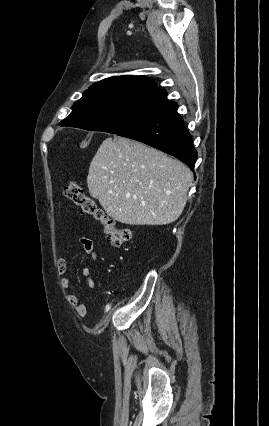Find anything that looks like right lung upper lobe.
I'll list each match as a JSON object with an SVG mask.
<instances>
[{
	"instance_id": "right-lung-upper-lobe-1",
	"label": "right lung upper lobe",
	"mask_w": 269,
	"mask_h": 426,
	"mask_svg": "<svg viewBox=\"0 0 269 426\" xmlns=\"http://www.w3.org/2000/svg\"><path fill=\"white\" fill-rule=\"evenodd\" d=\"M127 91H140V92H162L165 90L158 89L154 81L144 76H118L104 79L98 83L93 84L84 95L93 93L105 92H127Z\"/></svg>"
}]
</instances>
